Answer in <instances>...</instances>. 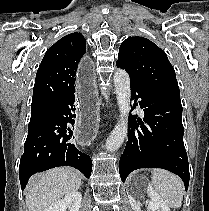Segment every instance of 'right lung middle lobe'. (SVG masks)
I'll use <instances>...</instances> for the list:
<instances>
[{
    "label": "right lung middle lobe",
    "mask_w": 209,
    "mask_h": 211,
    "mask_svg": "<svg viewBox=\"0 0 209 211\" xmlns=\"http://www.w3.org/2000/svg\"><path fill=\"white\" fill-rule=\"evenodd\" d=\"M44 112L45 111L31 112V118H30L28 129L31 128L33 125H35L39 119H41Z\"/></svg>",
    "instance_id": "1"
}]
</instances>
